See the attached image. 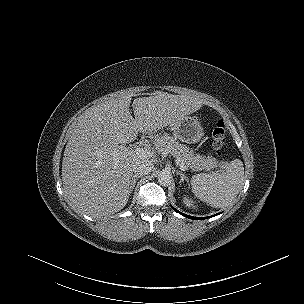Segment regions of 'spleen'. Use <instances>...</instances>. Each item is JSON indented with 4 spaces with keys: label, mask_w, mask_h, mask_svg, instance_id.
Listing matches in <instances>:
<instances>
[{
    "label": "spleen",
    "mask_w": 304,
    "mask_h": 304,
    "mask_svg": "<svg viewBox=\"0 0 304 304\" xmlns=\"http://www.w3.org/2000/svg\"><path fill=\"white\" fill-rule=\"evenodd\" d=\"M244 183V166L239 159L231 161L226 170L197 174L191 179L192 192L201 201L215 208L231 204Z\"/></svg>",
    "instance_id": "spleen-1"
}]
</instances>
